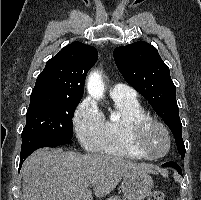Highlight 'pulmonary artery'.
Instances as JSON below:
<instances>
[{
  "label": "pulmonary artery",
  "instance_id": "obj_1",
  "mask_svg": "<svg viewBox=\"0 0 201 200\" xmlns=\"http://www.w3.org/2000/svg\"><path fill=\"white\" fill-rule=\"evenodd\" d=\"M110 94L114 97L136 98V92L132 88L120 83L112 87Z\"/></svg>",
  "mask_w": 201,
  "mask_h": 200
}]
</instances>
